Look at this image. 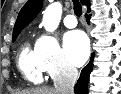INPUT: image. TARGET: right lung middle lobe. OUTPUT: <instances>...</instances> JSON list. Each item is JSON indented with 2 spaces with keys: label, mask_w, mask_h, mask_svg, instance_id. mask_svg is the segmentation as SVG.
Returning <instances> with one entry per match:
<instances>
[{
  "label": "right lung middle lobe",
  "mask_w": 121,
  "mask_h": 94,
  "mask_svg": "<svg viewBox=\"0 0 121 94\" xmlns=\"http://www.w3.org/2000/svg\"><path fill=\"white\" fill-rule=\"evenodd\" d=\"M19 33H20V32H17V33H15V34H13V41L16 39V37L18 36Z\"/></svg>",
  "instance_id": "obj_1"
}]
</instances>
